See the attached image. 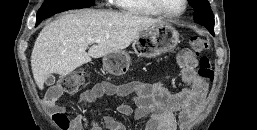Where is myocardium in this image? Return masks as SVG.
Here are the masks:
<instances>
[{
	"label": "myocardium",
	"mask_w": 257,
	"mask_h": 130,
	"mask_svg": "<svg viewBox=\"0 0 257 130\" xmlns=\"http://www.w3.org/2000/svg\"><path fill=\"white\" fill-rule=\"evenodd\" d=\"M152 6L160 13L167 17H178L181 16L187 9L188 0H183V8L177 13H171L163 8L159 0H150Z\"/></svg>",
	"instance_id": "obj_1"
}]
</instances>
